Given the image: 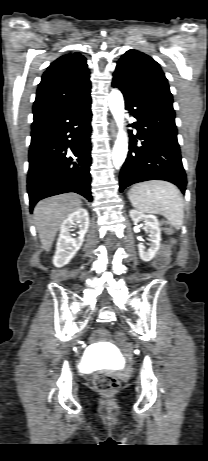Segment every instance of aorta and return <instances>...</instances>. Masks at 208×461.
I'll return each mask as SVG.
<instances>
[{
	"instance_id": "aorta-1",
	"label": "aorta",
	"mask_w": 208,
	"mask_h": 461,
	"mask_svg": "<svg viewBox=\"0 0 208 461\" xmlns=\"http://www.w3.org/2000/svg\"><path fill=\"white\" fill-rule=\"evenodd\" d=\"M108 104L118 127V134L112 152V161L113 165L119 168L124 163L128 152V137L124 129V100L119 90L112 89L108 97Z\"/></svg>"
}]
</instances>
